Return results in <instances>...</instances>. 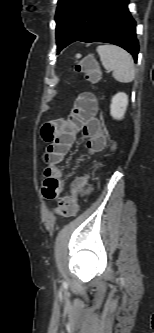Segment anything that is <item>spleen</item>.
Segmentation results:
<instances>
[{"label": "spleen", "mask_w": 154, "mask_h": 333, "mask_svg": "<svg viewBox=\"0 0 154 333\" xmlns=\"http://www.w3.org/2000/svg\"><path fill=\"white\" fill-rule=\"evenodd\" d=\"M102 65L113 71V77L122 83L133 81L135 66L131 55L115 45H100L97 47Z\"/></svg>", "instance_id": "spleen-1"}]
</instances>
